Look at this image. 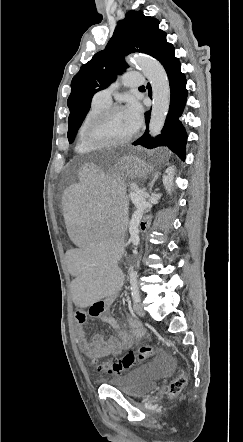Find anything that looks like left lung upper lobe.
Returning <instances> with one entry per match:
<instances>
[{
	"mask_svg": "<svg viewBox=\"0 0 243 442\" xmlns=\"http://www.w3.org/2000/svg\"><path fill=\"white\" fill-rule=\"evenodd\" d=\"M159 21L143 15L142 11H129L118 22L114 34L103 51L96 53L84 64L71 82L67 105L68 140L72 142L91 106L93 95L105 89L116 76L128 68L124 57L141 52L154 56L166 33L159 29Z\"/></svg>",
	"mask_w": 243,
	"mask_h": 442,
	"instance_id": "obj_1",
	"label": "left lung upper lobe"
}]
</instances>
